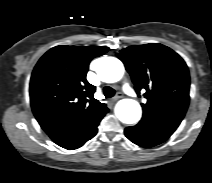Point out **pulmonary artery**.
<instances>
[{
  "instance_id": "pulmonary-artery-1",
  "label": "pulmonary artery",
  "mask_w": 212,
  "mask_h": 183,
  "mask_svg": "<svg viewBox=\"0 0 212 183\" xmlns=\"http://www.w3.org/2000/svg\"><path fill=\"white\" fill-rule=\"evenodd\" d=\"M123 88H124V90H125L126 92H128L129 94H131V95L134 94L132 91H130V88H129V85H128V84H125Z\"/></svg>"
}]
</instances>
